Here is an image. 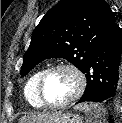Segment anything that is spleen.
I'll use <instances>...</instances> for the list:
<instances>
[{
  "instance_id": "3e777b00",
  "label": "spleen",
  "mask_w": 122,
  "mask_h": 123,
  "mask_svg": "<svg viewBox=\"0 0 122 123\" xmlns=\"http://www.w3.org/2000/svg\"><path fill=\"white\" fill-rule=\"evenodd\" d=\"M75 109L85 113L87 123H107V111L101 104L83 103L77 105Z\"/></svg>"
}]
</instances>
